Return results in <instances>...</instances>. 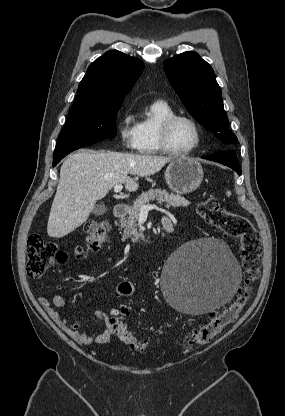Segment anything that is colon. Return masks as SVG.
<instances>
[{
	"instance_id": "obj_1",
	"label": "colon",
	"mask_w": 285,
	"mask_h": 416,
	"mask_svg": "<svg viewBox=\"0 0 285 416\" xmlns=\"http://www.w3.org/2000/svg\"><path fill=\"white\" fill-rule=\"evenodd\" d=\"M199 216L208 224L240 243V258L244 270V285L237 291L233 299L220 311L211 315L210 320L195 328L188 338V345L209 343L232 324L244 309L252 295V288L260 275L261 241L259 234L251 222L244 216L232 213L214 197H209L198 204ZM86 249L99 250L109 238L108 225L103 221L90 220L85 226ZM81 253V251L79 252ZM27 274L31 278L41 277L49 268L63 263L67 254L51 242L45 241L40 235L32 234L27 242ZM117 292L127 297L135 292L131 282H121ZM128 311L119 307L112 311L110 320L118 339L133 350L143 351L146 342L139 339L125 322Z\"/></svg>"
}]
</instances>
